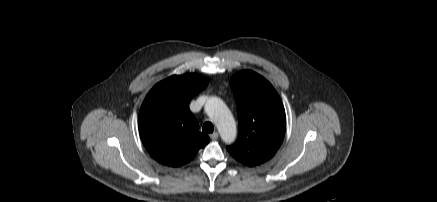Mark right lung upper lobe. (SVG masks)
<instances>
[{
    "instance_id": "right-lung-upper-lobe-1",
    "label": "right lung upper lobe",
    "mask_w": 437,
    "mask_h": 202,
    "mask_svg": "<svg viewBox=\"0 0 437 202\" xmlns=\"http://www.w3.org/2000/svg\"><path fill=\"white\" fill-rule=\"evenodd\" d=\"M207 85V78L199 74L173 75L147 94L139 111L138 127L145 148L158 162L179 167L209 143L189 109L191 99Z\"/></svg>"
}]
</instances>
